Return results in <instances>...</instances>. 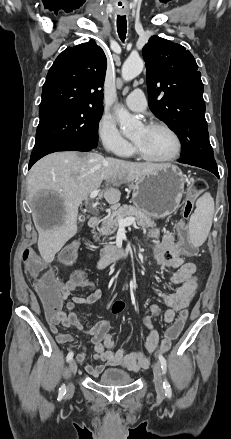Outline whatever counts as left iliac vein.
Segmentation results:
<instances>
[{"mask_svg":"<svg viewBox=\"0 0 231 439\" xmlns=\"http://www.w3.org/2000/svg\"><path fill=\"white\" fill-rule=\"evenodd\" d=\"M153 374H154V383H155V390H156L157 396L159 398H163L164 397V388H163V381H162L161 366H160L159 362L154 363Z\"/></svg>","mask_w":231,"mask_h":439,"instance_id":"left-iliac-vein-1","label":"left iliac vein"}]
</instances>
